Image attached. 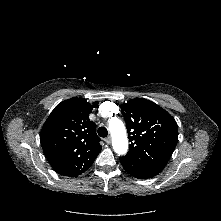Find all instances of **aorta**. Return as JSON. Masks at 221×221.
<instances>
[{
	"label": "aorta",
	"mask_w": 221,
	"mask_h": 221,
	"mask_svg": "<svg viewBox=\"0 0 221 221\" xmlns=\"http://www.w3.org/2000/svg\"><path fill=\"white\" fill-rule=\"evenodd\" d=\"M109 131L112 136V146L119 155H124L128 150V139L124 123L114 118L109 121Z\"/></svg>",
	"instance_id": "aorta-1"
}]
</instances>
